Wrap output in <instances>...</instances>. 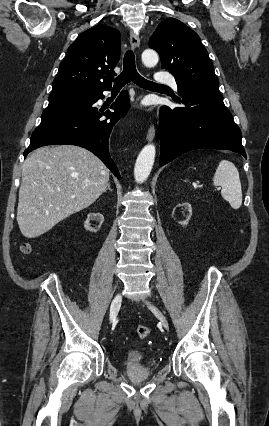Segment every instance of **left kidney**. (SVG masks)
Instances as JSON below:
<instances>
[{
	"label": "left kidney",
	"instance_id": "left-kidney-1",
	"mask_svg": "<svg viewBox=\"0 0 269 426\" xmlns=\"http://www.w3.org/2000/svg\"><path fill=\"white\" fill-rule=\"evenodd\" d=\"M180 207H184V209H185V210H187L189 214L187 215L186 220H182V221H180V220L182 219L180 216H179L177 219L179 220V223H180V224L187 225V224H188V222H189V219H190V217H191V215H192V207H191V204H190V203H188V202H184V203H182V204H178V205H176V207L173 209V213H172V214L174 215L176 208H180Z\"/></svg>",
	"mask_w": 269,
	"mask_h": 426
}]
</instances>
